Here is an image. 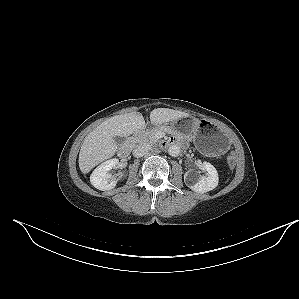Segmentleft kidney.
I'll return each mask as SVG.
<instances>
[{
  "instance_id": "5707ae66",
  "label": "left kidney",
  "mask_w": 299,
  "mask_h": 299,
  "mask_svg": "<svg viewBox=\"0 0 299 299\" xmlns=\"http://www.w3.org/2000/svg\"><path fill=\"white\" fill-rule=\"evenodd\" d=\"M200 167L207 171V176H200L196 179L195 174L188 171L184 174L186 185L195 192L206 193L218 185V173L215 167L209 162L201 163Z\"/></svg>"
}]
</instances>
